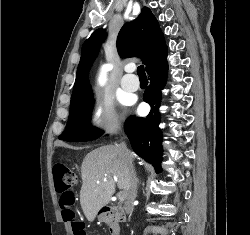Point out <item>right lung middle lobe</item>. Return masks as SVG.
<instances>
[{
    "mask_svg": "<svg viewBox=\"0 0 250 235\" xmlns=\"http://www.w3.org/2000/svg\"><path fill=\"white\" fill-rule=\"evenodd\" d=\"M93 108V95L87 91L70 103V113L65 131L59 139L72 142H85L99 138L103 132L90 124Z\"/></svg>",
    "mask_w": 250,
    "mask_h": 235,
    "instance_id": "obj_1",
    "label": "right lung middle lobe"
}]
</instances>
